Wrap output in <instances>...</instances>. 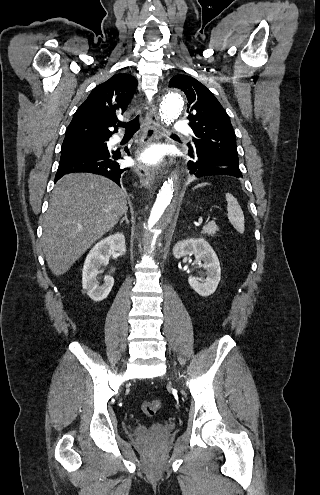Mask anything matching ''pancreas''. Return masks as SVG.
<instances>
[{"label":"pancreas","mask_w":320,"mask_h":495,"mask_svg":"<svg viewBox=\"0 0 320 495\" xmlns=\"http://www.w3.org/2000/svg\"><path fill=\"white\" fill-rule=\"evenodd\" d=\"M218 231V226L214 221H210L207 225L203 227V234L214 237Z\"/></svg>","instance_id":"pancreas-1"}]
</instances>
